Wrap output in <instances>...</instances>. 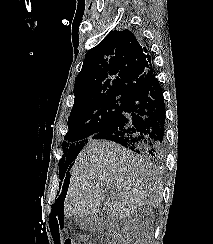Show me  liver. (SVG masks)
Returning a JSON list of instances; mask_svg holds the SVG:
<instances>
[{"mask_svg": "<svg viewBox=\"0 0 213 244\" xmlns=\"http://www.w3.org/2000/svg\"><path fill=\"white\" fill-rule=\"evenodd\" d=\"M162 184L143 158L109 141H90L75 160L64 201L66 218L96 213L105 197L113 220L128 217L138 207L154 208L162 201Z\"/></svg>", "mask_w": 213, "mask_h": 244, "instance_id": "1", "label": "liver"}]
</instances>
